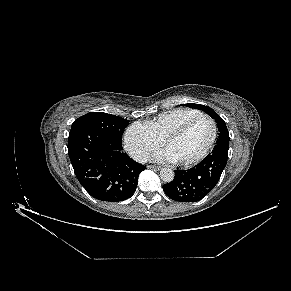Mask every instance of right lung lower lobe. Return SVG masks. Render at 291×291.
I'll list each match as a JSON object with an SVG mask.
<instances>
[{"mask_svg": "<svg viewBox=\"0 0 291 291\" xmlns=\"http://www.w3.org/2000/svg\"><path fill=\"white\" fill-rule=\"evenodd\" d=\"M121 150V143L92 128L69 133L68 153L75 175L94 198L118 202L135 192L146 166Z\"/></svg>", "mask_w": 291, "mask_h": 291, "instance_id": "98d812e1", "label": "right lung lower lobe"}]
</instances>
